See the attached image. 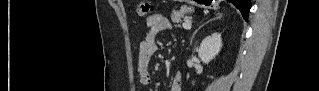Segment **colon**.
Returning a JSON list of instances; mask_svg holds the SVG:
<instances>
[{
	"mask_svg": "<svg viewBox=\"0 0 319 91\" xmlns=\"http://www.w3.org/2000/svg\"><path fill=\"white\" fill-rule=\"evenodd\" d=\"M150 12V3L148 1H140L137 7L139 16H146Z\"/></svg>",
	"mask_w": 319,
	"mask_h": 91,
	"instance_id": "5ec220e1",
	"label": "colon"
}]
</instances>
